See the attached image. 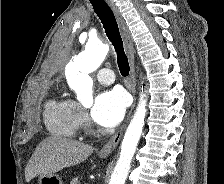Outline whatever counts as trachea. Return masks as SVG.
Here are the masks:
<instances>
[{"label": "trachea", "mask_w": 224, "mask_h": 184, "mask_svg": "<svg viewBox=\"0 0 224 184\" xmlns=\"http://www.w3.org/2000/svg\"><path fill=\"white\" fill-rule=\"evenodd\" d=\"M95 13L101 20L105 33L114 46L117 53V63L122 76H128L129 74V62L127 56L124 53L123 42L119 32V28L116 22L114 13L107 5L105 0H90Z\"/></svg>", "instance_id": "trachea-1"}]
</instances>
